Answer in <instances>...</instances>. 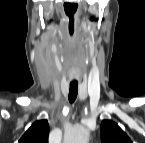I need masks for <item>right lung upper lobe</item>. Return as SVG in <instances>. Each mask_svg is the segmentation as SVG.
I'll return each instance as SVG.
<instances>
[{
    "label": "right lung upper lobe",
    "instance_id": "obj_1",
    "mask_svg": "<svg viewBox=\"0 0 145 143\" xmlns=\"http://www.w3.org/2000/svg\"><path fill=\"white\" fill-rule=\"evenodd\" d=\"M49 125L47 120L34 122L19 143H48Z\"/></svg>",
    "mask_w": 145,
    "mask_h": 143
}]
</instances>
